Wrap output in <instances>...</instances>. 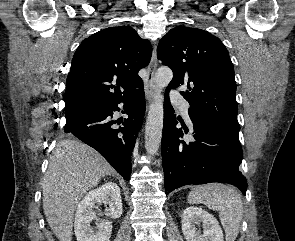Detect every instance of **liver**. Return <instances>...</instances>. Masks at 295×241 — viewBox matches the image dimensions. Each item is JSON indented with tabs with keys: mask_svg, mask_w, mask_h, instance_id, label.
I'll list each match as a JSON object with an SVG mask.
<instances>
[{
	"mask_svg": "<svg viewBox=\"0 0 295 241\" xmlns=\"http://www.w3.org/2000/svg\"><path fill=\"white\" fill-rule=\"evenodd\" d=\"M112 173L110 164L86 144H57L43 178V210L59 241H72L74 211L81 198Z\"/></svg>",
	"mask_w": 295,
	"mask_h": 241,
	"instance_id": "obj_1",
	"label": "liver"
}]
</instances>
